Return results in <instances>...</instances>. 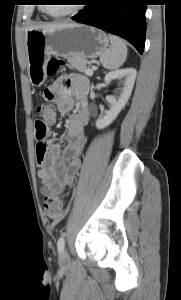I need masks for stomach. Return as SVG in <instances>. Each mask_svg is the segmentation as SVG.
I'll return each instance as SVG.
<instances>
[{
  "instance_id": "1",
  "label": "stomach",
  "mask_w": 181,
  "mask_h": 300,
  "mask_svg": "<svg viewBox=\"0 0 181 300\" xmlns=\"http://www.w3.org/2000/svg\"><path fill=\"white\" fill-rule=\"evenodd\" d=\"M109 46L107 35L94 27L72 23L52 32L29 30L26 33L28 75L33 85L46 80V63L51 55L79 57L85 61L101 55Z\"/></svg>"
}]
</instances>
